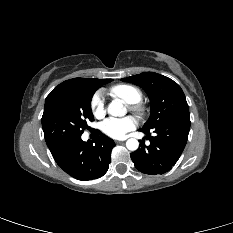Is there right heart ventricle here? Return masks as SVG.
I'll return each instance as SVG.
<instances>
[{
    "instance_id": "1",
    "label": "right heart ventricle",
    "mask_w": 233,
    "mask_h": 233,
    "mask_svg": "<svg viewBox=\"0 0 233 233\" xmlns=\"http://www.w3.org/2000/svg\"><path fill=\"white\" fill-rule=\"evenodd\" d=\"M111 96L122 100L127 104H134L140 102L142 99V92L139 88L130 84H117L109 90Z\"/></svg>"
}]
</instances>
